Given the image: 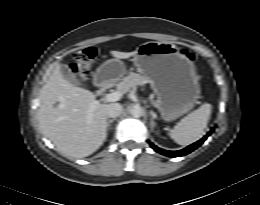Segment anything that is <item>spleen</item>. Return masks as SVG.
I'll list each match as a JSON object with an SVG mask.
<instances>
[{"mask_svg":"<svg viewBox=\"0 0 260 205\" xmlns=\"http://www.w3.org/2000/svg\"><path fill=\"white\" fill-rule=\"evenodd\" d=\"M212 106L204 103L184 117L171 131L170 137L180 145H189L200 139L207 127Z\"/></svg>","mask_w":260,"mask_h":205,"instance_id":"spleen-1","label":"spleen"}]
</instances>
